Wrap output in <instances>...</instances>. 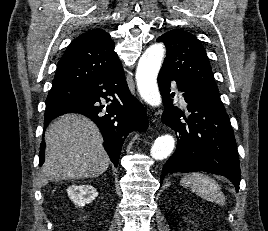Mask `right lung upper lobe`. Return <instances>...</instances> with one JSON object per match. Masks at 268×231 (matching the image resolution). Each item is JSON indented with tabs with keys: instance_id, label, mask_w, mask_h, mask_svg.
Listing matches in <instances>:
<instances>
[{
	"instance_id": "cb5924a9",
	"label": "right lung upper lobe",
	"mask_w": 268,
	"mask_h": 231,
	"mask_svg": "<svg viewBox=\"0 0 268 231\" xmlns=\"http://www.w3.org/2000/svg\"><path fill=\"white\" fill-rule=\"evenodd\" d=\"M110 35L95 29L78 36L61 57L52 87H86L120 64ZM58 105V104H56ZM56 105H48L52 107Z\"/></svg>"
}]
</instances>
